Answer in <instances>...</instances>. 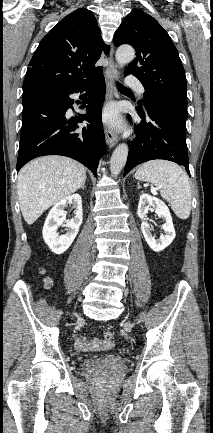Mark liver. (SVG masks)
<instances>
[{
    "instance_id": "1",
    "label": "liver",
    "mask_w": 213,
    "mask_h": 433,
    "mask_svg": "<svg viewBox=\"0 0 213 433\" xmlns=\"http://www.w3.org/2000/svg\"><path fill=\"white\" fill-rule=\"evenodd\" d=\"M86 181V168L64 156L49 155L26 164L18 174L22 215L33 224L48 208L76 192Z\"/></svg>"
}]
</instances>
